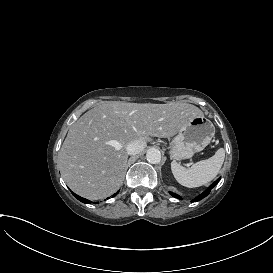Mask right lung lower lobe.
Returning <instances> with one entry per match:
<instances>
[{
    "instance_id": "98d812e1",
    "label": "right lung lower lobe",
    "mask_w": 273,
    "mask_h": 273,
    "mask_svg": "<svg viewBox=\"0 0 273 273\" xmlns=\"http://www.w3.org/2000/svg\"><path fill=\"white\" fill-rule=\"evenodd\" d=\"M72 194H73L79 201H81V202H83V203H86V204L90 203L87 199L82 198V197L76 195L75 193H72ZM115 195H116V194H115ZM115 195H114V196H115Z\"/></svg>"
}]
</instances>
